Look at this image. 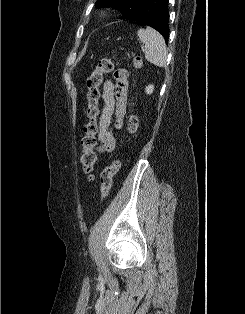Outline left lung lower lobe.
<instances>
[{
	"label": "left lung lower lobe",
	"instance_id": "1",
	"mask_svg": "<svg viewBox=\"0 0 245 314\" xmlns=\"http://www.w3.org/2000/svg\"><path fill=\"white\" fill-rule=\"evenodd\" d=\"M128 20L143 23L156 29L163 35L165 41H168V0H145L137 13Z\"/></svg>",
	"mask_w": 245,
	"mask_h": 314
}]
</instances>
